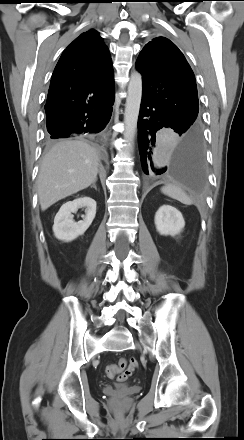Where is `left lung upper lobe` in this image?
Wrapping results in <instances>:
<instances>
[{"label":"left lung upper lobe","instance_id":"1","mask_svg":"<svg viewBox=\"0 0 244 440\" xmlns=\"http://www.w3.org/2000/svg\"><path fill=\"white\" fill-rule=\"evenodd\" d=\"M136 69L142 74L143 98L162 107L180 127L201 132L194 73L174 43L154 38L140 52Z\"/></svg>","mask_w":244,"mask_h":440}]
</instances>
